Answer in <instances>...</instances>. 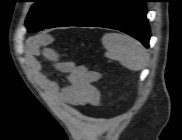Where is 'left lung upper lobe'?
<instances>
[{
	"label": "left lung upper lobe",
	"mask_w": 182,
	"mask_h": 140,
	"mask_svg": "<svg viewBox=\"0 0 182 140\" xmlns=\"http://www.w3.org/2000/svg\"><path fill=\"white\" fill-rule=\"evenodd\" d=\"M104 0H35L26 18L29 33L70 26Z\"/></svg>",
	"instance_id": "left-lung-upper-lobe-1"
}]
</instances>
